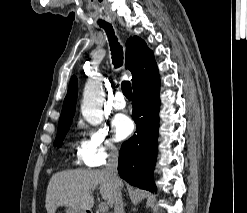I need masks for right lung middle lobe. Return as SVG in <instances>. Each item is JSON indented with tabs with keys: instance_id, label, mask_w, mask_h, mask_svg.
<instances>
[{
	"instance_id": "dd1d6c3e",
	"label": "right lung middle lobe",
	"mask_w": 247,
	"mask_h": 213,
	"mask_svg": "<svg viewBox=\"0 0 247 213\" xmlns=\"http://www.w3.org/2000/svg\"><path fill=\"white\" fill-rule=\"evenodd\" d=\"M69 127H70V124L58 127V132H57V136H56V139L54 142V146L59 147V145L62 143Z\"/></svg>"
}]
</instances>
